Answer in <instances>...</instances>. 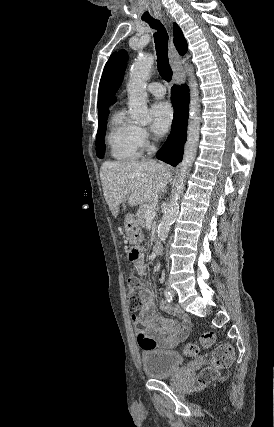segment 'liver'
Wrapping results in <instances>:
<instances>
[{
  "instance_id": "liver-1",
  "label": "liver",
  "mask_w": 274,
  "mask_h": 427,
  "mask_svg": "<svg viewBox=\"0 0 274 427\" xmlns=\"http://www.w3.org/2000/svg\"><path fill=\"white\" fill-rule=\"evenodd\" d=\"M104 198L117 217L120 204L143 206L165 192L171 178L170 166L152 160L104 162L100 168ZM127 192V194H125Z\"/></svg>"
}]
</instances>
